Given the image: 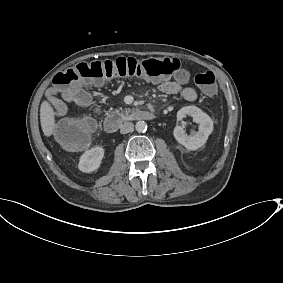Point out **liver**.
<instances>
[{
    "label": "liver",
    "mask_w": 283,
    "mask_h": 283,
    "mask_svg": "<svg viewBox=\"0 0 283 283\" xmlns=\"http://www.w3.org/2000/svg\"><path fill=\"white\" fill-rule=\"evenodd\" d=\"M40 121L45 137L50 138L56 128V113L49 100H43L41 103Z\"/></svg>",
    "instance_id": "liver-1"
}]
</instances>
